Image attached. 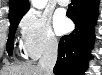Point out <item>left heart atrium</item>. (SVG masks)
Returning a JSON list of instances; mask_svg holds the SVG:
<instances>
[{"label": "left heart atrium", "instance_id": "left-heart-atrium-1", "mask_svg": "<svg viewBox=\"0 0 102 75\" xmlns=\"http://www.w3.org/2000/svg\"><path fill=\"white\" fill-rule=\"evenodd\" d=\"M70 21L62 13H58L54 19V29L58 34H64L70 29Z\"/></svg>", "mask_w": 102, "mask_h": 75}]
</instances>
